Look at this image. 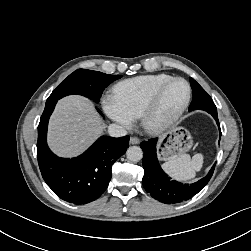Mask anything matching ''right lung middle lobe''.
I'll return each mask as SVG.
<instances>
[{"label": "right lung middle lobe", "mask_w": 251, "mask_h": 251, "mask_svg": "<svg viewBox=\"0 0 251 251\" xmlns=\"http://www.w3.org/2000/svg\"><path fill=\"white\" fill-rule=\"evenodd\" d=\"M122 76L108 75L98 71L78 69L70 74L48 97L46 103L79 94L99 102L103 90Z\"/></svg>", "instance_id": "right-lung-middle-lobe-1"}]
</instances>
